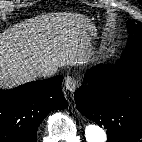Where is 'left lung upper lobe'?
I'll list each match as a JSON object with an SVG mask.
<instances>
[{
	"mask_svg": "<svg viewBox=\"0 0 142 142\" xmlns=\"http://www.w3.org/2000/svg\"><path fill=\"white\" fill-rule=\"evenodd\" d=\"M127 29L129 38L118 62H142V23L130 20L127 22Z\"/></svg>",
	"mask_w": 142,
	"mask_h": 142,
	"instance_id": "1",
	"label": "left lung upper lobe"
}]
</instances>
